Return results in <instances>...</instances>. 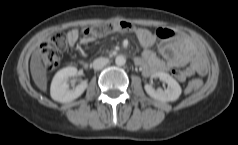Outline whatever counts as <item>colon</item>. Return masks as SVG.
<instances>
[{"mask_svg":"<svg viewBox=\"0 0 238 145\" xmlns=\"http://www.w3.org/2000/svg\"><path fill=\"white\" fill-rule=\"evenodd\" d=\"M138 27L126 21L110 22L100 25H94L85 28L82 32L85 40H92L95 38L103 37L113 32H128L135 33ZM67 49V38L61 33L52 35L45 41L39 49V58L46 71L54 70L61 60V57ZM202 85L201 80H192L187 88V92L198 90Z\"/></svg>","mask_w":238,"mask_h":145,"instance_id":"1","label":"colon"}]
</instances>
